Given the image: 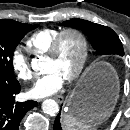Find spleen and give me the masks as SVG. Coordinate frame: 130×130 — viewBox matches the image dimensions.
<instances>
[{
	"mask_svg": "<svg viewBox=\"0 0 130 130\" xmlns=\"http://www.w3.org/2000/svg\"><path fill=\"white\" fill-rule=\"evenodd\" d=\"M62 124L63 130H96L94 126L82 122L68 114L63 116Z\"/></svg>",
	"mask_w": 130,
	"mask_h": 130,
	"instance_id": "spleen-1",
	"label": "spleen"
}]
</instances>
